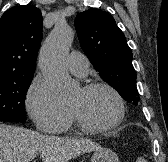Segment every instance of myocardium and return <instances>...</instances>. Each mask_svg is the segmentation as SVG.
Masks as SVG:
<instances>
[{
	"label": "myocardium",
	"instance_id": "f54148a6",
	"mask_svg": "<svg viewBox=\"0 0 168 162\" xmlns=\"http://www.w3.org/2000/svg\"><path fill=\"white\" fill-rule=\"evenodd\" d=\"M82 91L84 92H91L96 89H104L111 93V95L114 97L116 104H117V114L114 117V119L104 125H92L84 121L79 114L70 107V113L78 125V127L84 131L92 132V133H98V132H106L110 131L114 128H116L123 120L125 116V105L124 100L122 96L119 94V92L111 85L104 83V82H93L84 85L82 88Z\"/></svg>",
	"mask_w": 168,
	"mask_h": 162
}]
</instances>
